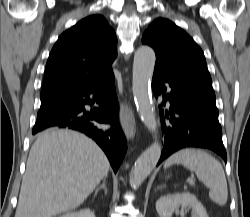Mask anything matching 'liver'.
<instances>
[{"mask_svg":"<svg viewBox=\"0 0 250 217\" xmlns=\"http://www.w3.org/2000/svg\"><path fill=\"white\" fill-rule=\"evenodd\" d=\"M109 168L104 152L85 135L45 130L31 147L15 217H53L77 208Z\"/></svg>","mask_w":250,"mask_h":217,"instance_id":"1","label":"liver"}]
</instances>
